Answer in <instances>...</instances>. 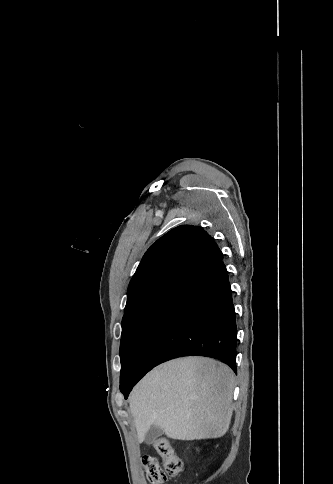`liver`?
Segmentation results:
<instances>
[{
  "label": "liver",
  "mask_w": 333,
  "mask_h": 484,
  "mask_svg": "<svg viewBox=\"0 0 333 484\" xmlns=\"http://www.w3.org/2000/svg\"><path fill=\"white\" fill-rule=\"evenodd\" d=\"M233 389V371L210 358L186 357L159 365L130 395L139 442L151 426L178 440L222 437L232 417Z\"/></svg>",
  "instance_id": "liver-1"
}]
</instances>
